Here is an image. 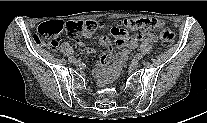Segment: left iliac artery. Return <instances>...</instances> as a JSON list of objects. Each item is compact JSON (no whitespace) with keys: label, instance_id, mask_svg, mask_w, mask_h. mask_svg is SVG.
I'll return each mask as SVG.
<instances>
[{"label":"left iliac artery","instance_id":"left-iliac-artery-1","mask_svg":"<svg viewBox=\"0 0 207 123\" xmlns=\"http://www.w3.org/2000/svg\"><path fill=\"white\" fill-rule=\"evenodd\" d=\"M135 58L138 59V60H140V59H142V55H141L140 53H137V54L135 55Z\"/></svg>","mask_w":207,"mask_h":123}]
</instances>
